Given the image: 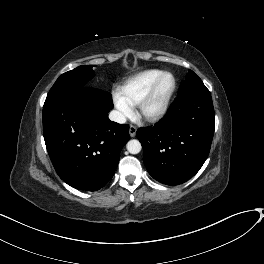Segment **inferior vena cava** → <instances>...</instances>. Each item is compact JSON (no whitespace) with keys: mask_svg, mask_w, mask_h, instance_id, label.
<instances>
[{"mask_svg":"<svg viewBox=\"0 0 264 264\" xmlns=\"http://www.w3.org/2000/svg\"><path fill=\"white\" fill-rule=\"evenodd\" d=\"M109 118L111 121L120 123V124H124L126 122V117L123 113L117 111V110H113L109 113Z\"/></svg>","mask_w":264,"mask_h":264,"instance_id":"inferior-vena-cava-1","label":"inferior vena cava"}]
</instances>
